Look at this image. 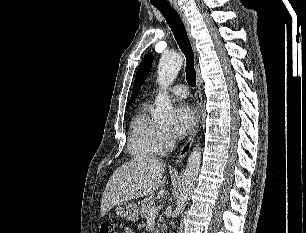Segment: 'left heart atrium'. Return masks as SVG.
<instances>
[{
    "label": "left heart atrium",
    "mask_w": 306,
    "mask_h": 233,
    "mask_svg": "<svg viewBox=\"0 0 306 233\" xmlns=\"http://www.w3.org/2000/svg\"><path fill=\"white\" fill-rule=\"evenodd\" d=\"M195 115L191 107L186 103H180L174 109V134L181 138L184 137L193 127Z\"/></svg>",
    "instance_id": "left-heart-atrium-1"
}]
</instances>
